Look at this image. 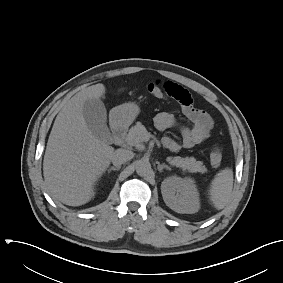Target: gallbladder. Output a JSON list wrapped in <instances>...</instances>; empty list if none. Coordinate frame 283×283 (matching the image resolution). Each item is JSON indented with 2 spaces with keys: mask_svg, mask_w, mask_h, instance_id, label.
<instances>
[{
  "mask_svg": "<svg viewBox=\"0 0 283 283\" xmlns=\"http://www.w3.org/2000/svg\"><path fill=\"white\" fill-rule=\"evenodd\" d=\"M83 117L92 134L97 138L109 141L110 132L106 124L107 113L100 99H88L83 104Z\"/></svg>",
  "mask_w": 283,
  "mask_h": 283,
  "instance_id": "gallbladder-1",
  "label": "gallbladder"
}]
</instances>
